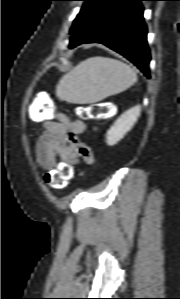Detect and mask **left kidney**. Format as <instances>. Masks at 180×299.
Returning a JSON list of instances; mask_svg holds the SVG:
<instances>
[{
	"instance_id": "5707ae66",
	"label": "left kidney",
	"mask_w": 180,
	"mask_h": 299,
	"mask_svg": "<svg viewBox=\"0 0 180 299\" xmlns=\"http://www.w3.org/2000/svg\"><path fill=\"white\" fill-rule=\"evenodd\" d=\"M140 113L141 106L139 105L124 112L107 131L106 143L109 146L117 144L132 129Z\"/></svg>"
}]
</instances>
